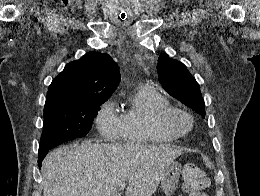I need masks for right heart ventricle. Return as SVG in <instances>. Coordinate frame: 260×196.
Returning a JSON list of instances; mask_svg holds the SVG:
<instances>
[{
  "label": "right heart ventricle",
  "instance_id": "1",
  "mask_svg": "<svg viewBox=\"0 0 260 196\" xmlns=\"http://www.w3.org/2000/svg\"><path fill=\"white\" fill-rule=\"evenodd\" d=\"M170 101L157 89L147 84H137L128 93V98L120 116L121 127L137 132L135 138L120 143L164 144L179 139L172 133L155 126L154 111L162 112L171 108ZM92 192H112V190H92Z\"/></svg>",
  "mask_w": 260,
  "mask_h": 196
}]
</instances>
